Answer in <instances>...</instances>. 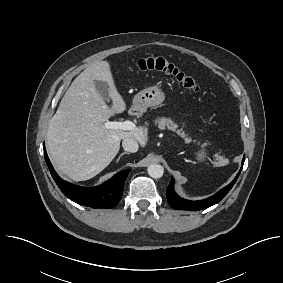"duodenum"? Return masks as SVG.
Masks as SVG:
<instances>
[{
    "mask_svg": "<svg viewBox=\"0 0 283 283\" xmlns=\"http://www.w3.org/2000/svg\"><path fill=\"white\" fill-rule=\"evenodd\" d=\"M135 112H136V109H135V108H131V109H130V113H131V114H134Z\"/></svg>",
    "mask_w": 283,
    "mask_h": 283,
    "instance_id": "410a0bca",
    "label": "duodenum"
}]
</instances>
